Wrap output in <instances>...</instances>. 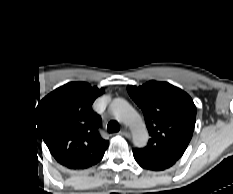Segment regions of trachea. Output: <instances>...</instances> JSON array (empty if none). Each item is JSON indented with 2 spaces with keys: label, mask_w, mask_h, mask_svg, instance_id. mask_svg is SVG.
<instances>
[{
  "label": "trachea",
  "mask_w": 233,
  "mask_h": 194,
  "mask_svg": "<svg viewBox=\"0 0 233 194\" xmlns=\"http://www.w3.org/2000/svg\"><path fill=\"white\" fill-rule=\"evenodd\" d=\"M107 130L110 133H115L120 130L119 124L116 121H110L107 126Z\"/></svg>",
  "instance_id": "trachea-1"
}]
</instances>
